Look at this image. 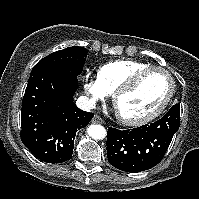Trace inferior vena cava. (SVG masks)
I'll list each match as a JSON object with an SVG mask.
<instances>
[{
    "label": "inferior vena cava",
    "mask_w": 199,
    "mask_h": 199,
    "mask_svg": "<svg viewBox=\"0 0 199 199\" xmlns=\"http://www.w3.org/2000/svg\"><path fill=\"white\" fill-rule=\"evenodd\" d=\"M76 105L81 110L90 111L91 109H95L96 101L86 96H80L76 101Z\"/></svg>",
    "instance_id": "1"
}]
</instances>
